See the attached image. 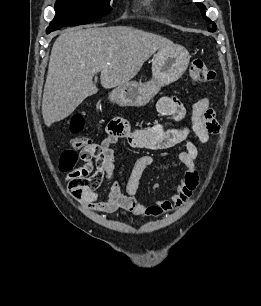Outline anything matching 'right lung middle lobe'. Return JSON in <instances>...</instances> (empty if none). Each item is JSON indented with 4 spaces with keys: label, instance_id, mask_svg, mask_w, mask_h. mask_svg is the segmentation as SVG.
Listing matches in <instances>:
<instances>
[{
    "label": "right lung middle lobe",
    "instance_id": "dd1d6c3e",
    "mask_svg": "<svg viewBox=\"0 0 261 306\" xmlns=\"http://www.w3.org/2000/svg\"><path fill=\"white\" fill-rule=\"evenodd\" d=\"M110 0H58L51 27L82 25L94 22L111 10Z\"/></svg>",
    "mask_w": 261,
    "mask_h": 306
}]
</instances>
